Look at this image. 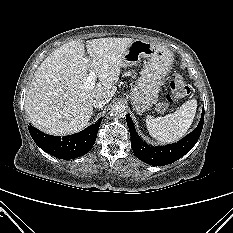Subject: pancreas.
Wrapping results in <instances>:
<instances>
[{"label":"pancreas","mask_w":233,"mask_h":233,"mask_svg":"<svg viewBox=\"0 0 233 233\" xmlns=\"http://www.w3.org/2000/svg\"><path fill=\"white\" fill-rule=\"evenodd\" d=\"M133 73H134V72H127L126 74H127L128 76H130V75H133Z\"/></svg>","instance_id":"cf45deb5"}]
</instances>
